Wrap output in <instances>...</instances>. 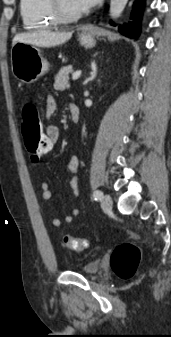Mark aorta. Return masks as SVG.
<instances>
[{"label": "aorta", "mask_w": 171, "mask_h": 337, "mask_svg": "<svg viewBox=\"0 0 171 337\" xmlns=\"http://www.w3.org/2000/svg\"><path fill=\"white\" fill-rule=\"evenodd\" d=\"M128 0H111L110 1V16L113 19L118 18L123 12Z\"/></svg>", "instance_id": "obj_1"}]
</instances>
